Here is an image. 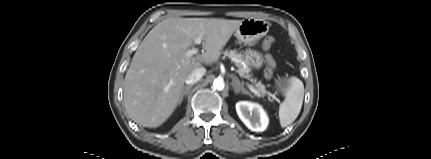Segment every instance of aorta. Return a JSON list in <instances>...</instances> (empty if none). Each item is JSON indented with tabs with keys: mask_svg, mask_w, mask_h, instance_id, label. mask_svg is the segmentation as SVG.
<instances>
[{
	"mask_svg": "<svg viewBox=\"0 0 431 159\" xmlns=\"http://www.w3.org/2000/svg\"><path fill=\"white\" fill-rule=\"evenodd\" d=\"M213 87H214V89L219 90V91L223 90L225 87V83H224L223 79L216 78L213 81Z\"/></svg>",
	"mask_w": 431,
	"mask_h": 159,
	"instance_id": "762f6f07",
	"label": "aorta"
}]
</instances>
